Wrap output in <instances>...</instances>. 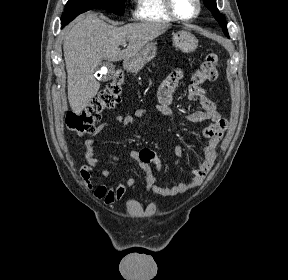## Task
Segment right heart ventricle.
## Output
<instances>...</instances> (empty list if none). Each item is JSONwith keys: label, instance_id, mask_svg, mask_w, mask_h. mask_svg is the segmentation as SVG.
<instances>
[{"label": "right heart ventricle", "instance_id": "obj_1", "mask_svg": "<svg viewBox=\"0 0 288 280\" xmlns=\"http://www.w3.org/2000/svg\"><path fill=\"white\" fill-rule=\"evenodd\" d=\"M135 17L145 22H172L174 19L168 14L164 0H136Z\"/></svg>", "mask_w": 288, "mask_h": 280}]
</instances>
